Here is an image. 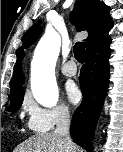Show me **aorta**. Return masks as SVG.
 <instances>
[{
    "mask_svg": "<svg viewBox=\"0 0 123 152\" xmlns=\"http://www.w3.org/2000/svg\"><path fill=\"white\" fill-rule=\"evenodd\" d=\"M61 40L54 31H47L37 44L31 63V88L35 100L46 108L56 106L59 91L55 66Z\"/></svg>",
    "mask_w": 123,
    "mask_h": 152,
    "instance_id": "762f6f07",
    "label": "aorta"
}]
</instances>
